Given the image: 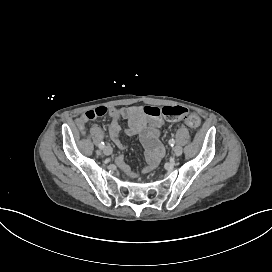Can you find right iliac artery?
<instances>
[{
    "mask_svg": "<svg viewBox=\"0 0 272 272\" xmlns=\"http://www.w3.org/2000/svg\"><path fill=\"white\" fill-rule=\"evenodd\" d=\"M104 146H105L104 142L99 143V148H100V149H103Z\"/></svg>",
    "mask_w": 272,
    "mask_h": 272,
    "instance_id": "82829eb1",
    "label": "right iliac artery"
}]
</instances>
